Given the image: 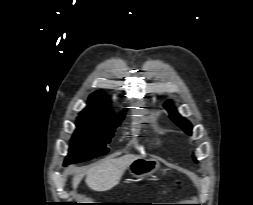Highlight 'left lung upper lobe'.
Masks as SVG:
<instances>
[{"label":"left lung upper lobe","instance_id":"obj_1","mask_svg":"<svg viewBox=\"0 0 253 205\" xmlns=\"http://www.w3.org/2000/svg\"><path fill=\"white\" fill-rule=\"evenodd\" d=\"M164 107L169 112L170 118L178 126H180L187 134L191 135V133H192V126H191L190 122L187 121L186 119H184L182 116H180L169 102L165 103Z\"/></svg>","mask_w":253,"mask_h":205}]
</instances>
